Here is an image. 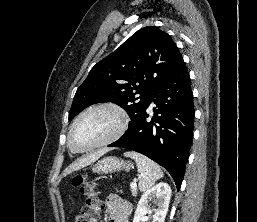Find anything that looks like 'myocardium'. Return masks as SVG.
I'll use <instances>...</instances> for the list:
<instances>
[{
	"instance_id": "1",
	"label": "myocardium",
	"mask_w": 257,
	"mask_h": 222,
	"mask_svg": "<svg viewBox=\"0 0 257 222\" xmlns=\"http://www.w3.org/2000/svg\"><path fill=\"white\" fill-rule=\"evenodd\" d=\"M98 110H107L116 115L118 122H117V127H116L115 131L110 136H108L106 139H104L103 141H101L93 146H90L88 148H83V149L77 148L74 145L73 140H72V134H73V130H74L76 124L80 121V119L82 117H84L88 113H91L93 111H98ZM128 124H129V115H128L127 110L122 105H120L116 102H113V101H104V102L93 104V105L89 106L88 108H86L85 110H83L74 119V121L71 124L69 131H68V145H69L70 149L76 153H85V152H89V151L107 146L109 144L114 143L115 141H117L124 135V133L127 130Z\"/></svg>"
}]
</instances>
